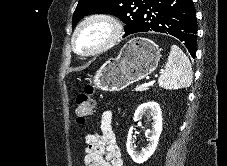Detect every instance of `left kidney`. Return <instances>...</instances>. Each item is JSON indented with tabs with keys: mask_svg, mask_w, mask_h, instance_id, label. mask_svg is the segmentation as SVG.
<instances>
[{
	"mask_svg": "<svg viewBox=\"0 0 227 166\" xmlns=\"http://www.w3.org/2000/svg\"><path fill=\"white\" fill-rule=\"evenodd\" d=\"M148 114L152 117V130L149 134V143L140 152L136 151V146L132 139L133 126L130 127L127 137V152L135 163L142 164L148 160L156 150L160 134L162 132V113L158 103L149 101L139 105L134 114V121L142 119L143 115Z\"/></svg>",
	"mask_w": 227,
	"mask_h": 166,
	"instance_id": "obj_1",
	"label": "left kidney"
}]
</instances>
